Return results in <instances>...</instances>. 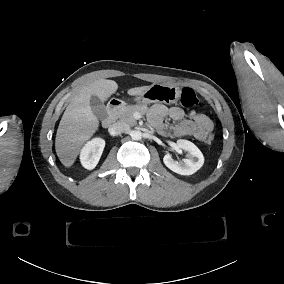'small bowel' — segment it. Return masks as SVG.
<instances>
[{"label":"small bowel","mask_w":284,"mask_h":284,"mask_svg":"<svg viewBox=\"0 0 284 284\" xmlns=\"http://www.w3.org/2000/svg\"><path fill=\"white\" fill-rule=\"evenodd\" d=\"M173 121V124L165 120ZM151 124L166 135L173 137L193 136L200 141L213 129L211 119L199 111L186 112L180 107H166L162 104L154 105L149 112Z\"/></svg>","instance_id":"1"}]
</instances>
